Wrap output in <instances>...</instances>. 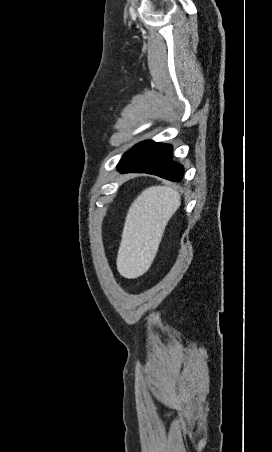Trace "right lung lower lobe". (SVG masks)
Instances as JSON below:
<instances>
[{
  "label": "right lung lower lobe",
  "instance_id": "98d812e1",
  "mask_svg": "<svg viewBox=\"0 0 272 452\" xmlns=\"http://www.w3.org/2000/svg\"><path fill=\"white\" fill-rule=\"evenodd\" d=\"M121 173H147L180 182L184 168L172 160V147L167 144L142 142L129 150L117 166Z\"/></svg>",
  "mask_w": 272,
  "mask_h": 452
}]
</instances>
